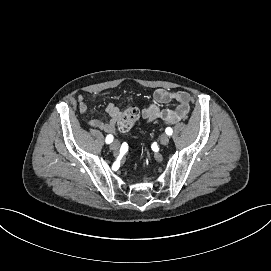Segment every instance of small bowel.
I'll list each match as a JSON object with an SVG mask.
<instances>
[{
  "mask_svg": "<svg viewBox=\"0 0 271 271\" xmlns=\"http://www.w3.org/2000/svg\"><path fill=\"white\" fill-rule=\"evenodd\" d=\"M99 95H92L97 98ZM154 103L143 109L142 118L147 122L162 120L165 124H175L188 116L190 112L191 96L188 92L182 90H171L159 88L153 93ZM78 106L83 114L88 112V103L83 95L78 96ZM176 102L174 109H162L160 104ZM121 117L120 108L109 103L106 107V115L101 118H93L88 123L91 127L102 130L106 133H113Z\"/></svg>",
  "mask_w": 271,
  "mask_h": 271,
  "instance_id": "small-bowel-1",
  "label": "small bowel"
}]
</instances>
